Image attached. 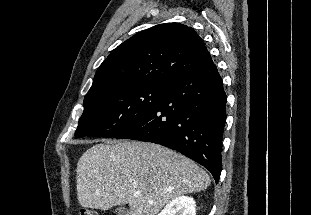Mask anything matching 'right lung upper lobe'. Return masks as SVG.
<instances>
[{
  "mask_svg": "<svg viewBox=\"0 0 311 215\" xmlns=\"http://www.w3.org/2000/svg\"><path fill=\"white\" fill-rule=\"evenodd\" d=\"M211 63L193 28L180 23L156 25L133 35L108 55L86 96L108 88L165 84Z\"/></svg>",
  "mask_w": 311,
  "mask_h": 215,
  "instance_id": "1",
  "label": "right lung upper lobe"
}]
</instances>
